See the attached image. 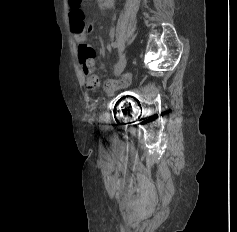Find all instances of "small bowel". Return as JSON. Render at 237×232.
<instances>
[{
	"mask_svg": "<svg viewBox=\"0 0 237 232\" xmlns=\"http://www.w3.org/2000/svg\"><path fill=\"white\" fill-rule=\"evenodd\" d=\"M74 39L78 45L79 61L82 66L86 88L94 92L99 86V80L94 71L95 51L93 47L86 42V34H75ZM128 82L129 77L125 76L119 80L107 81L105 87L108 91L113 92L126 86Z\"/></svg>",
	"mask_w": 237,
	"mask_h": 232,
	"instance_id": "small-bowel-1",
	"label": "small bowel"
}]
</instances>
